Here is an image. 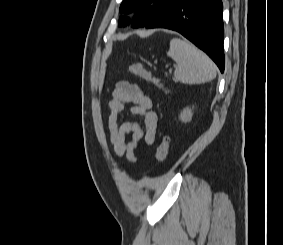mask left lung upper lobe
<instances>
[{
    "label": "left lung upper lobe",
    "mask_w": 283,
    "mask_h": 245,
    "mask_svg": "<svg viewBox=\"0 0 283 245\" xmlns=\"http://www.w3.org/2000/svg\"><path fill=\"white\" fill-rule=\"evenodd\" d=\"M173 0H123L120 12L129 13L135 10L133 27H146L160 15ZM127 17H120L119 25H126Z\"/></svg>",
    "instance_id": "5c2ea615"
}]
</instances>
